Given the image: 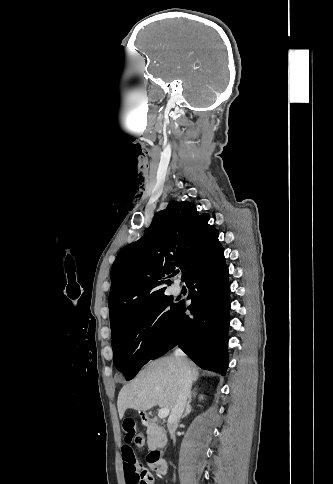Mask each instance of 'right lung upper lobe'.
Returning a JSON list of instances; mask_svg holds the SVG:
<instances>
[{
  "label": "right lung upper lobe",
  "instance_id": "1",
  "mask_svg": "<svg viewBox=\"0 0 333 484\" xmlns=\"http://www.w3.org/2000/svg\"><path fill=\"white\" fill-rule=\"evenodd\" d=\"M209 219L193 203L172 200L143 237L119 252L111 269V330L137 308L164 296L176 267L186 282L208 262L221 246Z\"/></svg>",
  "mask_w": 333,
  "mask_h": 484
}]
</instances>
